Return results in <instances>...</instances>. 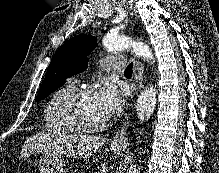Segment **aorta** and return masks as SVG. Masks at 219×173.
<instances>
[{"label":"aorta","instance_id":"762f6f07","mask_svg":"<svg viewBox=\"0 0 219 173\" xmlns=\"http://www.w3.org/2000/svg\"><path fill=\"white\" fill-rule=\"evenodd\" d=\"M103 46L108 51H124L131 50L136 55L142 57L144 60L150 61L153 59V54L149 47L141 42L132 40L125 35L108 34L103 38ZM156 88L151 85L146 87L139 95L136 104V113L142 122L150 119L156 105ZM127 173H140L138 165L131 166Z\"/></svg>","mask_w":219,"mask_h":173}]
</instances>
